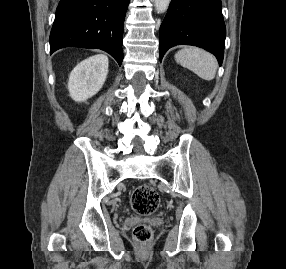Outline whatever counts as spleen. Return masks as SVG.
<instances>
[{
    "label": "spleen",
    "instance_id": "1",
    "mask_svg": "<svg viewBox=\"0 0 286 269\" xmlns=\"http://www.w3.org/2000/svg\"><path fill=\"white\" fill-rule=\"evenodd\" d=\"M175 60L189 69L201 79H214L217 70V61L209 52L196 47H186L175 54Z\"/></svg>",
    "mask_w": 286,
    "mask_h": 269
}]
</instances>
